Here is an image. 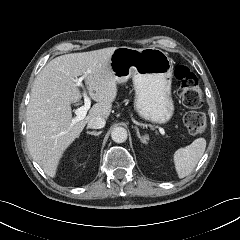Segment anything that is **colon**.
<instances>
[{
    "label": "colon",
    "instance_id": "colon-1",
    "mask_svg": "<svg viewBox=\"0 0 240 240\" xmlns=\"http://www.w3.org/2000/svg\"><path fill=\"white\" fill-rule=\"evenodd\" d=\"M173 75L179 83L178 96L187 108H198L203 103V95L196 75L186 66H177ZM184 124L192 135L206 131V118L201 112L191 111L184 117Z\"/></svg>",
    "mask_w": 240,
    "mask_h": 240
}]
</instances>
